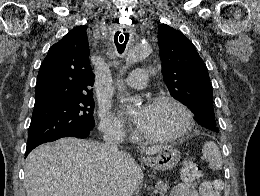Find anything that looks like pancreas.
Here are the masks:
<instances>
[{"label": "pancreas", "mask_w": 260, "mask_h": 196, "mask_svg": "<svg viewBox=\"0 0 260 196\" xmlns=\"http://www.w3.org/2000/svg\"><path fill=\"white\" fill-rule=\"evenodd\" d=\"M169 182H158L157 190H159L160 196H165L169 190Z\"/></svg>", "instance_id": "1"}]
</instances>
